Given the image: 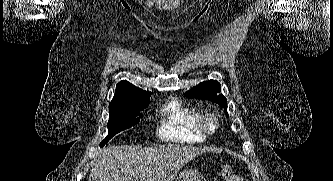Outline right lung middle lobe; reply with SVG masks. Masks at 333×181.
Wrapping results in <instances>:
<instances>
[{"instance_id":"dd1d6c3e","label":"right lung middle lobe","mask_w":333,"mask_h":181,"mask_svg":"<svg viewBox=\"0 0 333 181\" xmlns=\"http://www.w3.org/2000/svg\"><path fill=\"white\" fill-rule=\"evenodd\" d=\"M146 106L143 105L109 112V121L107 123L108 136L100 143V146L103 147L117 133L136 125Z\"/></svg>"}]
</instances>
